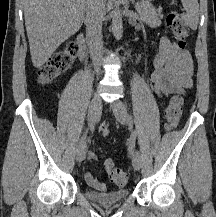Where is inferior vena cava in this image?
Returning <instances> with one entry per match:
<instances>
[{
    "label": "inferior vena cava",
    "instance_id": "602c4592",
    "mask_svg": "<svg viewBox=\"0 0 216 217\" xmlns=\"http://www.w3.org/2000/svg\"><path fill=\"white\" fill-rule=\"evenodd\" d=\"M105 15L103 0L86 1V40L97 74L100 72V60L103 56L102 21Z\"/></svg>",
    "mask_w": 216,
    "mask_h": 217
}]
</instances>
